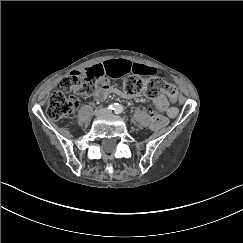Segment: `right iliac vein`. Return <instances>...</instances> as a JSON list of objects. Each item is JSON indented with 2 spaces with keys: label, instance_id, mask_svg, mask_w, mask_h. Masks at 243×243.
Returning a JSON list of instances; mask_svg holds the SVG:
<instances>
[{
  "label": "right iliac vein",
  "instance_id": "obj_1",
  "mask_svg": "<svg viewBox=\"0 0 243 243\" xmlns=\"http://www.w3.org/2000/svg\"><path fill=\"white\" fill-rule=\"evenodd\" d=\"M104 113H105V111L103 109H99V110L96 111L95 115L97 117H99V116H102Z\"/></svg>",
  "mask_w": 243,
  "mask_h": 243
}]
</instances>
